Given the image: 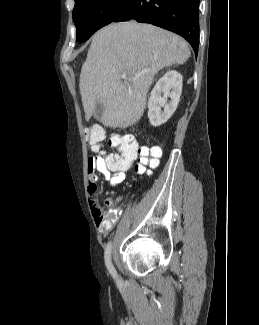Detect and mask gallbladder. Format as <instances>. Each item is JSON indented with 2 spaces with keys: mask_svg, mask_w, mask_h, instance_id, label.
<instances>
[{
  "mask_svg": "<svg viewBox=\"0 0 259 325\" xmlns=\"http://www.w3.org/2000/svg\"><path fill=\"white\" fill-rule=\"evenodd\" d=\"M103 109H104V106H103L102 103H99V102L96 103L95 108H94V111H93V115L95 117H99L100 114H101V112L103 111Z\"/></svg>",
  "mask_w": 259,
  "mask_h": 325,
  "instance_id": "bac80fb5",
  "label": "gallbladder"
}]
</instances>
